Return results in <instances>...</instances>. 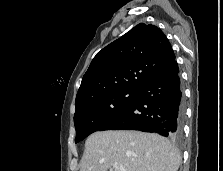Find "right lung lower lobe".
<instances>
[{"mask_svg":"<svg viewBox=\"0 0 223 171\" xmlns=\"http://www.w3.org/2000/svg\"><path fill=\"white\" fill-rule=\"evenodd\" d=\"M184 104L179 68L174 61L163 73L142 87L132 103L104 130H141L178 139L182 135Z\"/></svg>","mask_w":223,"mask_h":171,"instance_id":"right-lung-lower-lobe-1","label":"right lung lower lobe"}]
</instances>
